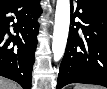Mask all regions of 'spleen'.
<instances>
[{"instance_id":"spleen-1","label":"spleen","mask_w":107,"mask_h":89,"mask_svg":"<svg viewBox=\"0 0 107 89\" xmlns=\"http://www.w3.org/2000/svg\"><path fill=\"white\" fill-rule=\"evenodd\" d=\"M74 89H101L98 86H84V85H76Z\"/></svg>"}]
</instances>
